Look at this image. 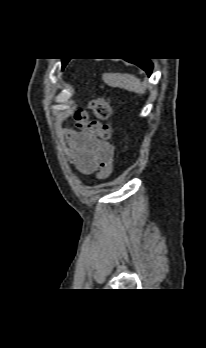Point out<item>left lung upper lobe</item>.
<instances>
[{"instance_id":"left-lung-upper-lobe-1","label":"left lung upper lobe","mask_w":206,"mask_h":348,"mask_svg":"<svg viewBox=\"0 0 206 348\" xmlns=\"http://www.w3.org/2000/svg\"><path fill=\"white\" fill-rule=\"evenodd\" d=\"M67 62H68V60H63L62 66H64Z\"/></svg>"}]
</instances>
